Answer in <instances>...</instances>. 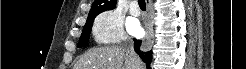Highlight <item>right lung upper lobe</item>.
Masks as SVG:
<instances>
[{
    "label": "right lung upper lobe",
    "instance_id": "right-lung-upper-lobe-1",
    "mask_svg": "<svg viewBox=\"0 0 246 69\" xmlns=\"http://www.w3.org/2000/svg\"><path fill=\"white\" fill-rule=\"evenodd\" d=\"M117 0H95L88 14L87 22L94 21V18L101 12L114 9Z\"/></svg>",
    "mask_w": 246,
    "mask_h": 69
}]
</instances>
